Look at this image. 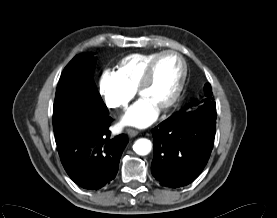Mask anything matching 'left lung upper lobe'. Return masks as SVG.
Instances as JSON below:
<instances>
[{"label":"left lung upper lobe","mask_w":277,"mask_h":218,"mask_svg":"<svg viewBox=\"0 0 277 218\" xmlns=\"http://www.w3.org/2000/svg\"><path fill=\"white\" fill-rule=\"evenodd\" d=\"M216 109V103L212 95L211 85L209 83L204 85V96L201 99H195L186 107L182 108L175 114L187 113L199 109Z\"/></svg>","instance_id":"5c2ea615"}]
</instances>
